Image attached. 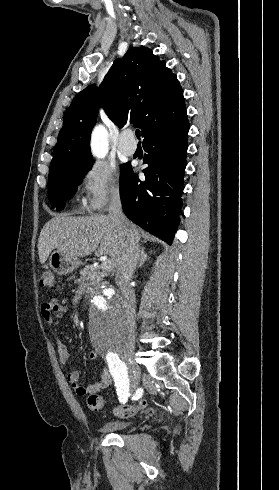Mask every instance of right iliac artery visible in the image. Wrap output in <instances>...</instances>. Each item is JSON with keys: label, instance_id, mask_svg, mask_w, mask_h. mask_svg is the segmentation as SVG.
Listing matches in <instances>:
<instances>
[{"label": "right iliac artery", "instance_id": "82829eb1", "mask_svg": "<svg viewBox=\"0 0 279 490\" xmlns=\"http://www.w3.org/2000/svg\"><path fill=\"white\" fill-rule=\"evenodd\" d=\"M106 364L109 366L111 374L116 381V389L120 397V402L125 403L130 396L128 371L126 364L120 360L119 352H108Z\"/></svg>", "mask_w": 279, "mask_h": 490}]
</instances>
